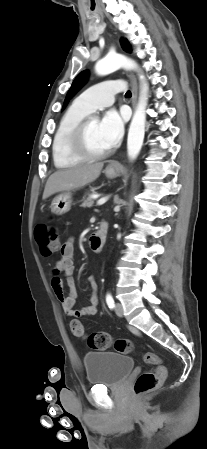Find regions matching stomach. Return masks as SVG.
<instances>
[{
  "label": "stomach",
  "mask_w": 207,
  "mask_h": 449,
  "mask_svg": "<svg viewBox=\"0 0 207 449\" xmlns=\"http://www.w3.org/2000/svg\"><path fill=\"white\" fill-rule=\"evenodd\" d=\"M120 168L107 167L105 169V175L108 178H115L119 174ZM72 204V194L70 192H64L56 196L51 203V211L56 215H63L67 213Z\"/></svg>",
  "instance_id": "0dacf381"
}]
</instances>
